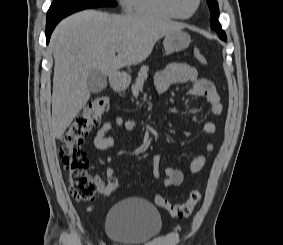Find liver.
<instances>
[{"mask_svg": "<svg viewBox=\"0 0 283 245\" xmlns=\"http://www.w3.org/2000/svg\"><path fill=\"white\" fill-rule=\"evenodd\" d=\"M182 28L179 23L152 17L95 10H84L62 20L50 41L55 61L51 119L54 136H63L90 99L87 78L91 71L113 77L120 68L146 60L160 38Z\"/></svg>", "mask_w": 283, "mask_h": 245, "instance_id": "6515ba94", "label": "liver"}]
</instances>
